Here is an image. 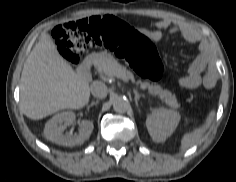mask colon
<instances>
[{"mask_svg": "<svg viewBox=\"0 0 236 182\" xmlns=\"http://www.w3.org/2000/svg\"><path fill=\"white\" fill-rule=\"evenodd\" d=\"M61 55L72 65L92 47H105L126 60L141 77L158 80L163 66L152 41L114 16L92 17L56 26L52 32Z\"/></svg>", "mask_w": 236, "mask_h": 182, "instance_id": "1", "label": "colon"}]
</instances>
